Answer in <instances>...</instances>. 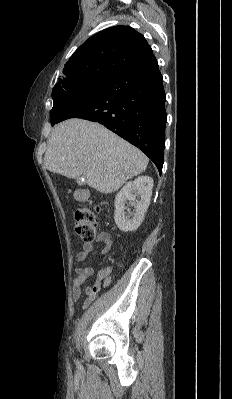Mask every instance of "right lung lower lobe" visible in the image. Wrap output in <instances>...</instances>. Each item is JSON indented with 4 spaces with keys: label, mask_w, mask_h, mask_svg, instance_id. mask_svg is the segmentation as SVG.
<instances>
[{
    "label": "right lung lower lobe",
    "mask_w": 232,
    "mask_h": 399,
    "mask_svg": "<svg viewBox=\"0 0 232 399\" xmlns=\"http://www.w3.org/2000/svg\"><path fill=\"white\" fill-rule=\"evenodd\" d=\"M166 95L154 55L107 78L86 98L67 104L55 124L81 118L98 122L142 150L162 172Z\"/></svg>",
    "instance_id": "98d812e1"
}]
</instances>
